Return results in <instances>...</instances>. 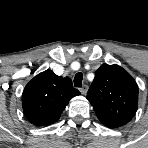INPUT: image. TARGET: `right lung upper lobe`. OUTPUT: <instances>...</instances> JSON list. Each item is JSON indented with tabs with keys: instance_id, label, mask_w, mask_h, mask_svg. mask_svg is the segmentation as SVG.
<instances>
[{
	"instance_id": "cb5924a9",
	"label": "right lung upper lobe",
	"mask_w": 148,
	"mask_h": 148,
	"mask_svg": "<svg viewBox=\"0 0 148 148\" xmlns=\"http://www.w3.org/2000/svg\"><path fill=\"white\" fill-rule=\"evenodd\" d=\"M80 95L68 77L57 76L48 69L35 76L22 94L23 111L30 123L47 126L55 123L70 99Z\"/></svg>"
}]
</instances>
